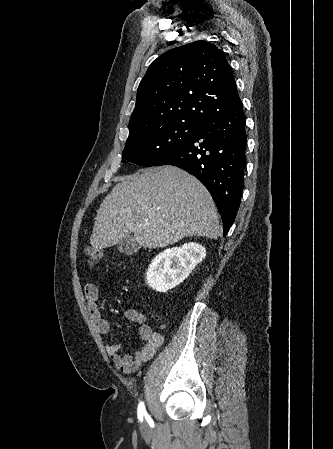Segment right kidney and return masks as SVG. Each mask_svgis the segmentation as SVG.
Wrapping results in <instances>:
<instances>
[{
  "label": "right kidney",
  "instance_id": "ca27d5eb",
  "mask_svg": "<svg viewBox=\"0 0 333 449\" xmlns=\"http://www.w3.org/2000/svg\"><path fill=\"white\" fill-rule=\"evenodd\" d=\"M205 256V248L195 242L164 250L152 260L148 268L149 287L162 293L175 288L189 276Z\"/></svg>",
  "mask_w": 333,
  "mask_h": 449
}]
</instances>
